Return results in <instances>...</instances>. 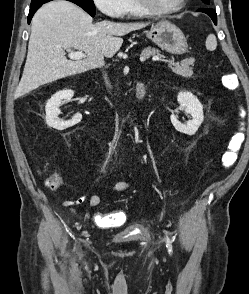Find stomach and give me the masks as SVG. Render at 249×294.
Instances as JSON below:
<instances>
[{"label":"stomach","mask_w":249,"mask_h":294,"mask_svg":"<svg viewBox=\"0 0 249 294\" xmlns=\"http://www.w3.org/2000/svg\"><path fill=\"white\" fill-rule=\"evenodd\" d=\"M145 34L160 48L172 54H182L188 49L187 39L183 32L169 21L158 22Z\"/></svg>","instance_id":"1"}]
</instances>
